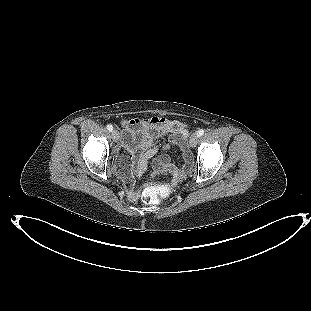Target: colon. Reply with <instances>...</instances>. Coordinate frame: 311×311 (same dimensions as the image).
<instances>
[{
    "mask_svg": "<svg viewBox=\"0 0 311 311\" xmlns=\"http://www.w3.org/2000/svg\"><path fill=\"white\" fill-rule=\"evenodd\" d=\"M125 162L123 161L119 167L124 172ZM173 192V189L168 185L150 184L142 193V199L148 204H157L162 199L169 197Z\"/></svg>",
    "mask_w": 311,
    "mask_h": 311,
    "instance_id": "1",
    "label": "colon"
}]
</instances>
